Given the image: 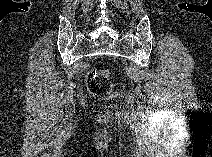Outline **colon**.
Wrapping results in <instances>:
<instances>
[{
	"label": "colon",
	"instance_id": "1",
	"mask_svg": "<svg viewBox=\"0 0 212 157\" xmlns=\"http://www.w3.org/2000/svg\"><path fill=\"white\" fill-rule=\"evenodd\" d=\"M87 88L98 99H109L122 92L123 84L112 82L107 70L91 72L87 77Z\"/></svg>",
	"mask_w": 212,
	"mask_h": 157
}]
</instances>
